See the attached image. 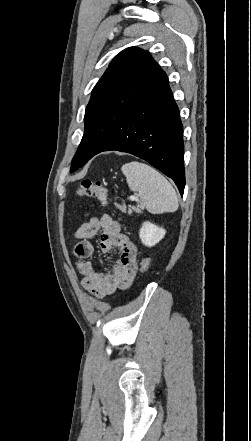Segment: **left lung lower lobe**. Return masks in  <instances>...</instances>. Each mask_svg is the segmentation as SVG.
<instances>
[{
    "label": "left lung lower lobe",
    "mask_w": 251,
    "mask_h": 441,
    "mask_svg": "<svg viewBox=\"0 0 251 441\" xmlns=\"http://www.w3.org/2000/svg\"><path fill=\"white\" fill-rule=\"evenodd\" d=\"M86 159L116 150L142 158L173 179L181 195L185 187L183 126L164 74L126 115L114 114L93 123L84 135Z\"/></svg>",
    "instance_id": "0a47b994"
}]
</instances>
